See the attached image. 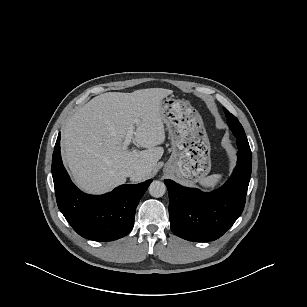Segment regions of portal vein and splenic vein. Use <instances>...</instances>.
I'll return each mask as SVG.
<instances>
[{"label":"portal vein and splenic vein","instance_id":"18ae733b","mask_svg":"<svg viewBox=\"0 0 307 307\" xmlns=\"http://www.w3.org/2000/svg\"><path fill=\"white\" fill-rule=\"evenodd\" d=\"M135 122L138 123L139 121L136 120ZM133 134H134L133 127H130L129 130L127 131L125 140H124V142H123V147H124L125 149L130 145V142H131V140H132V138H133Z\"/></svg>","mask_w":307,"mask_h":307}]
</instances>
